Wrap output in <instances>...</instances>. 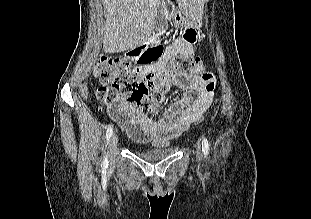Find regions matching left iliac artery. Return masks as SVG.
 I'll return each instance as SVG.
<instances>
[{
	"instance_id": "obj_1",
	"label": "left iliac artery",
	"mask_w": 311,
	"mask_h": 219,
	"mask_svg": "<svg viewBox=\"0 0 311 219\" xmlns=\"http://www.w3.org/2000/svg\"><path fill=\"white\" fill-rule=\"evenodd\" d=\"M202 151L204 153V156L207 158L209 154V143L207 138H205L204 136L202 138Z\"/></svg>"
}]
</instances>
